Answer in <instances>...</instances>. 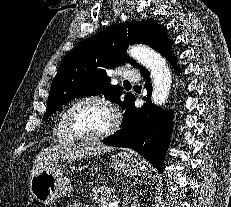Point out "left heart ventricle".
Masks as SVG:
<instances>
[{
    "mask_svg": "<svg viewBox=\"0 0 231 207\" xmlns=\"http://www.w3.org/2000/svg\"><path fill=\"white\" fill-rule=\"evenodd\" d=\"M75 129L83 135H96L111 124L110 112L100 104L86 102L78 105L71 115Z\"/></svg>",
    "mask_w": 231,
    "mask_h": 207,
    "instance_id": "obj_1",
    "label": "left heart ventricle"
}]
</instances>
